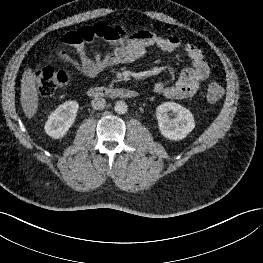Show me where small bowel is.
I'll list each match as a JSON object with an SVG mask.
<instances>
[{"label":"small bowel","instance_id":"small-bowel-1","mask_svg":"<svg viewBox=\"0 0 263 263\" xmlns=\"http://www.w3.org/2000/svg\"><path fill=\"white\" fill-rule=\"evenodd\" d=\"M98 40L107 43L106 52L102 53L95 49ZM62 42L75 48L79 60L64 50L59 52V58L87 78L95 77L108 67L134 62L142 58L149 47L155 46L164 52L182 49L191 60L192 65L183 69L179 78L172 85H166L160 81L153 87L155 93L169 99L192 97L198 91L200 83L210 74V67L201 51L195 45L183 41L176 35L163 37L149 30L128 34L119 25L98 22L67 32L62 36Z\"/></svg>","mask_w":263,"mask_h":263}]
</instances>
